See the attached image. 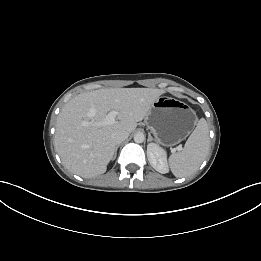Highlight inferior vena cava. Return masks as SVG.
I'll return each instance as SVG.
<instances>
[{"label": "inferior vena cava", "instance_id": "inferior-vena-cava-1", "mask_svg": "<svg viewBox=\"0 0 261 261\" xmlns=\"http://www.w3.org/2000/svg\"><path fill=\"white\" fill-rule=\"evenodd\" d=\"M128 136H129V133H127L125 131H118V132H115L112 134L111 139L115 145H119L124 140H126L128 138Z\"/></svg>", "mask_w": 261, "mask_h": 261}]
</instances>
